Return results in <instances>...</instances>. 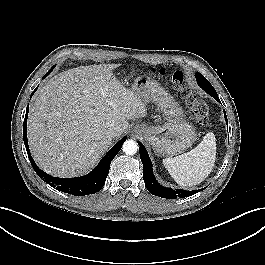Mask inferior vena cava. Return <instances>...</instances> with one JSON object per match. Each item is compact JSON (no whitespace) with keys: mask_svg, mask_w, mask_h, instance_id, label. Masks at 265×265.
Instances as JSON below:
<instances>
[{"mask_svg":"<svg viewBox=\"0 0 265 265\" xmlns=\"http://www.w3.org/2000/svg\"><path fill=\"white\" fill-rule=\"evenodd\" d=\"M107 136L110 138H114L116 136V131L113 128L107 130Z\"/></svg>","mask_w":265,"mask_h":265,"instance_id":"obj_1","label":"inferior vena cava"}]
</instances>
